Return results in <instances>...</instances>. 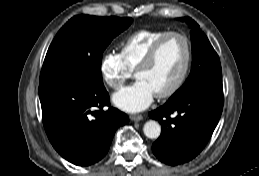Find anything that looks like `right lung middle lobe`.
<instances>
[{"mask_svg": "<svg viewBox=\"0 0 259 176\" xmlns=\"http://www.w3.org/2000/svg\"><path fill=\"white\" fill-rule=\"evenodd\" d=\"M131 23V18L90 15L71 18L57 33L47 51L40 84L75 79L92 85H103V51Z\"/></svg>", "mask_w": 259, "mask_h": 176, "instance_id": "obj_1", "label": "right lung middle lobe"}]
</instances>
